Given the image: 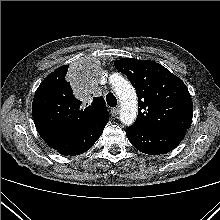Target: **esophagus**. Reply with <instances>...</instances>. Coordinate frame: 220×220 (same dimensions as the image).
Returning a JSON list of instances; mask_svg holds the SVG:
<instances>
[{
	"mask_svg": "<svg viewBox=\"0 0 220 220\" xmlns=\"http://www.w3.org/2000/svg\"><path fill=\"white\" fill-rule=\"evenodd\" d=\"M112 116H117L119 114V108L115 107L111 109Z\"/></svg>",
	"mask_w": 220,
	"mask_h": 220,
	"instance_id": "1",
	"label": "esophagus"
}]
</instances>
